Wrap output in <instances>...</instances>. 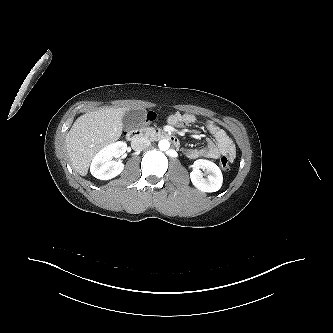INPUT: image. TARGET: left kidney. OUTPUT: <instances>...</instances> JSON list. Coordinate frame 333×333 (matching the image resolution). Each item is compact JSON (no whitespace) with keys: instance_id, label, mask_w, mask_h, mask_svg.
Segmentation results:
<instances>
[{"instance_id":"obj_1","label":"left kidney","mask_w":333,"mask_h":333,"mask_svg":"<svg viewBox=\"0 0 333 333\" xmlns=\"http://www.w3.org/2000/svg\"><path fill=\"white\" fill-rule=\"evenodd\" d=\"M200 169L205 170L208 174L207 178L203 177ZM190 178L193 185L202 192L218 191L223 182V175L219 167L215 163L205 159H198L194 162Z\"/></svg>"}]
</instances>
